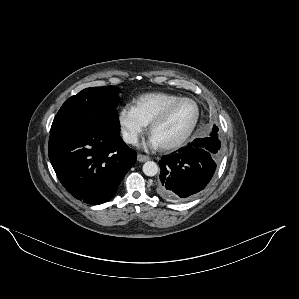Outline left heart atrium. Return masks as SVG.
Here are the masks:
<instances>
[{"instance_id":"left-heart-atrium-1","label":"left heart atrium","mask_w":299,"mask_h":299,"mask_svg":"<svg viewBox=\"0 0 299 299\" xmlns=\"http://www.w3.org/2000/svg\"><path fill=\"white\" fill-rule=\"evenodd\" d=\"M148 146L152 147V148H156V147L159 146V144L153 137H151L149 142H148Z\"/></svg>"}]
</instances>
